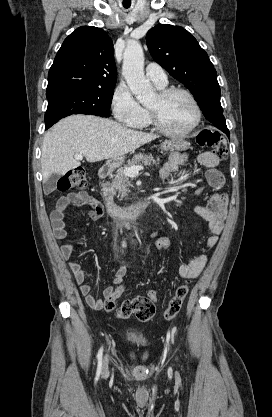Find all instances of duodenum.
<instances>
[{
    "label": "duodenum",
    "instance_id": "duodenum-1",
    "mask_svg": "<svg viewBox=\"0 0 272 417\" xmlns=\"http://www.w3.org/2000/svg\"><path fill=\"white\" fill-rule=\"evenodd\" d=\"M113 169L114 165L112 163H105L99 168L98 176L100 178H105L113 171ZM103 194L105 209L107 213L114 219H125L138 216L144 213L152 205V201L149 198H145L131 205L122 206L113 200L108 190L105 189Z\"/></svg>",
    "mask_w": 272,
    "mask_h": 417
}]
</instances>
